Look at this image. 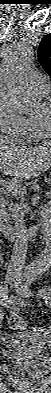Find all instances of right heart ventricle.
<instances>
[{
	"mask_svg": "<svg viewBox=\"0 0 51 393\" xmlns=\"http://www.w3.org/2000/svg\"><path fill=\"white\" fill-rule=\"evenodd\" d=\"M40 95L45 97L48 94L40 93ZM25 137L34 138V139H42L43 138L42 131L40 130V128L37 124L35 116L26 117Z\"/></svg>",
	"mask_w": 51,
	"mask_h": 393,
	"instance_id": "right-heart-ventricle-1",
	"label": "right heart ventricle"
}]
</instances>
